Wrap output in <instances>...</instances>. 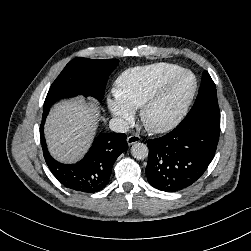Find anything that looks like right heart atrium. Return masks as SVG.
<instances>
[{"mask_svg":"<svg viewBox=\"0 0 251 251\" xmlns=\"http://www.w3.org/2000/svg\"><path fill=\"white\" fill-rule=\"evenodd\" d=\"M106 103L109 112L120 124L126 123L133 117V109L126 105L115 93L107 98Z\"/></svg>","mask_w":251,"mask_h":251,"instance_id":"obj_1","label":"right heart atrium"}]
</instances>
